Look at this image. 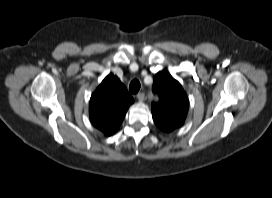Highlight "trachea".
I'll use <instances>...</instances> for the list:
<instances>
[{
	"mask_svg": "<svg viewBox=\"0 0 272 198\" xmlns=\"http://www.w3.org/2000/svg\"><path fill=\"white\" fill-rule=\"evenodd\" d=\"M140 82L137 79H134L131 81L130 85H129V90L132 94H136L138 93V91L140 90Z\"/></svg>",
	"mask_w": 272,
	"mask_h": 198,
	"instance_id": "trachea-1",
	"label": "trachea"
}]
</instances>
